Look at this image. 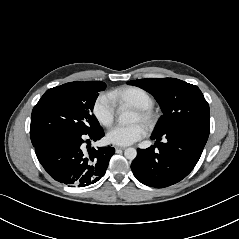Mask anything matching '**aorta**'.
<instances>
[{
    "mask_svg": "<svg viewBox=\"0 0 239 239\" xmlns=\"http://www.w3.org/2000/svg\"><path fill=\"white\" fill-rule=\"evenodd\" d=\"M134 114L130 111H122L118 115V122L120 124H130L133 121ZM124 155L129 160H134L137 156V151L133 147H129L125 150Z\"/></svg>",
    "mask_w": 239,
    "mask_h": 239,
    "instance_id": "aorta-1",
    "label": "aorta"
}]
</instances>
